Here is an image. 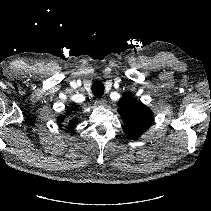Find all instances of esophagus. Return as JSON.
<instances>
[{
  "mask_svg": "<svg viewBox=\"0 0 211 211\" xmlns=\"http://www.w3.org/2000/svg\"><path fill=\"white\" fill-rule=\"evenodd\" d=\"M96 103L100 106V107H106L107 106V101L105 99H97Z\"/></svg>",
  "mask_w": 211,
  "mask_h": 211,
  "instance_id": "34e87169",
  "label": "esophagus"
}]
</instances>
